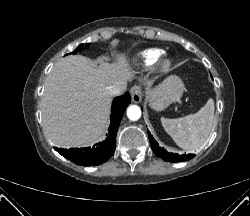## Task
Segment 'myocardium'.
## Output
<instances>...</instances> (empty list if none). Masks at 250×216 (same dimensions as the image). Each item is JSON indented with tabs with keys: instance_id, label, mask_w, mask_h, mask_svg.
Here are the masks:
<instances>
[{
	"instance_id": "1",
	"label": "myocardium",
	"mask_w": 250,
	"mask_h": 216,
	"mask_svg": "<svg viewBox=\"0 0 250 216\" xmlns=\"http://www.w3.org/2000/svg\"><path fill=\"white\" fill-rule=\"evenodd\" d=\"M171 61L169 59H162L158 63V70L162 73L168 72L171 68Z\"/></svg>"
}]
</instances>
